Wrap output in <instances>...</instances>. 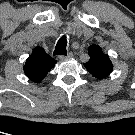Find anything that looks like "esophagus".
I'll use <instances>...</instances> for the list:
<instances>
[{
	"label": "esophagus",
	"instance_id": "34e87169",
	"mask_svg": "<svg viewBox=\"0 0 135 135\" xmlns=\"http://www.w3.org/2000/svg\"><path fill=\"white\" fill-rule=\"evenodd\" d=\"M73 57V53L69 52L67 55H61L59 56L60 60H65V59H71Z\"/></svg>",
	"mask_w": 135,
	"mask_h": 135
}]
</instances>
